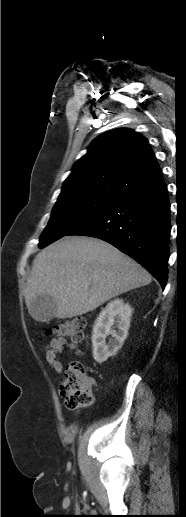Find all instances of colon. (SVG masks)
I'll return each mask as SVG.
<instances>
[{
    "label": "colon",
    "mask_w": 186,
    "mask_h": 517,
    "mask_svg": "<svg viewBox=\"0 0 186 517\" xmlns=\"http://www.w3.org/2000/svg\"><path fill=\"white\" fill-rule=\"evenodd\" d=\"M85 325V320L75 319L55 325L48 333L80 342L86 338ZM93 388L94 383L87 377L86 367L83 363L76 361L67 365L59 386L60 394L67 408L75 409L91 405L94 401Z\"/></svg>",
    "instance_id": "colon-1"
}]
</instances>
